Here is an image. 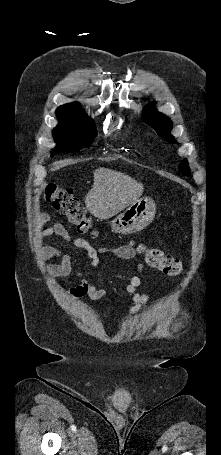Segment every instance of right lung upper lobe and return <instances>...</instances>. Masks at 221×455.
<instances>
[{"label":"right lung upper lobe","mask_w":221,"mask_h":455,"mask_svg":"<svg viewBox=\"0 0 221 455\" xmlns=\"http://www.w3.org/2000/svg\"><path fill=\"white\" fill-rule=\"evenodd\" d=\"M59 120L74 121V122H87L90 119L83 113L81 107L77 103H68L60 106L56 110Z\"/></svg>","instance_id":"cb5924a9"}]
</instances>
